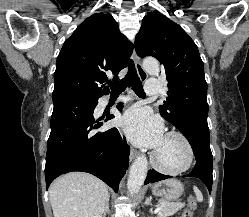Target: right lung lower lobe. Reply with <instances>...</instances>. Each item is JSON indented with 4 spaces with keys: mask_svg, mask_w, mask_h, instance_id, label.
Instances as JSON below:
<instances>
[{
    "mask_svg": "<svg viewBox=\"0 0 249 217\" xmlns=\"http://www.w3.org/2000/svg\"><path fill=\"white\" fill-rule=\"evenodd\" d=\"M98 96L75 92L53 94L54 109L51 133L47 143L46 188L61 174L71 171L88 172L103 180L115 192L128 167L130 148L117 128L97 131L100 120L93 112ZM122 109V104L118 105ZM114 118L107 115L106 120Z\"/></svg>",
    "mask_w": 249,
    "mask_h": 217,
    "instance_id": "1",
    "label": "right lung lower lobe"
}]
</instances>
